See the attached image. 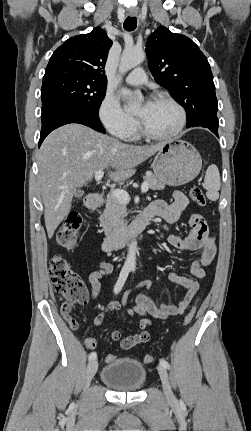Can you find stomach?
Segmentation results:
<instances>
[{
	"instance_id": "obj_1",
	"label": "stomach",
	"mask_w": 251,
	"mask_h": 431,
	"mask_svg": "<svg viewBox=\"0 0 251 431\" xmlns=\"http://www.w3.org/2000/svg\"><path fill=\"white\" fill-rule=\"evenodd\" d=\"M155 176L169 186H181L197 177L202 167L198 151L183 140L165 142L153 164Z\"/></svg>"
}]
</instances>
